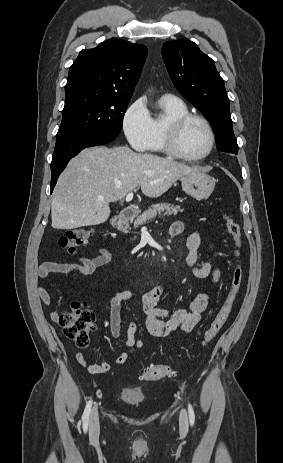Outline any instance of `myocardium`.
<instances>
[{"instance_id": "1", "label": "myocardium", "mask_w": 283, "mask_h": 463, "mask_svg": "<svg viewBox=\"0 0 283 463\" xmlns=\"http://www.w3.org/2000/svg\"><path fill=\"white\" fill-rule=\"evenodd\" d=\"M192 120H198L204 124V126L206 127L208 131L209 139H210L209 147L207 151L204 154L197 156V157H189V156L184 155L180 151L179 145H178L179 137H180V134L183 128L185 127L186 124H188ZM215 141H216L215 132H214V129L211 123L209 122L207 118L197 113L188 112L184 115H181L179 117L172 119L165 126V130H164L165 151L170 156L178 160L184 161V162L195 163V162H199V161H202L208 158L214 150Z\"/></svg>"}]
</instances>
